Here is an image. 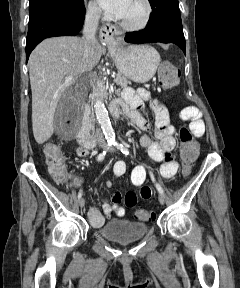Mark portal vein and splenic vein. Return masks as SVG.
<instances>
[{
  "label": "portal vein and splenic vein",
  "instance_id": "1",
  "mask_svg": "<svg viewBox=\"0 0 240 288\" xmlns=\"http://www.w3.org/2000/svg\"><path fill=\"white\" fill-rule=\"evenodd\" d=\"M70 80H72V77H67L66 78V81H70Z\"/></svg>",
  "mask_w": 240,
  "mask_h": 288
}]
</instances>
